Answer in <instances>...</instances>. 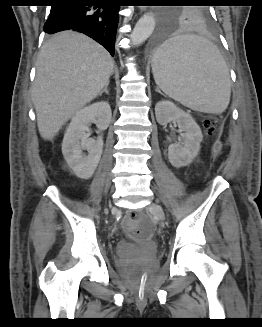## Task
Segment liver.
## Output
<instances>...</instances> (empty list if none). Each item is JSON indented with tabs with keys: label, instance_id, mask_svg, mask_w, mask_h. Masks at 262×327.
<instances>
[{
	"label": "liver",
	"instance_id": "6515ba94",
	"mask_svg": "<svg viewBox=\"0 0 262 327\" xmlns=\"http://www.w3.org/2000/svg\"><path fill=\"white\" fill-rule=\"evenodd\" d=\"M108 51L72 31L51 37L36 63L32 101L41 137L51 140L84 105L92 101L113 73Z\"/></svg>",
	"mask_w": 262,
	"mask_h": 327
}]
</instances>
